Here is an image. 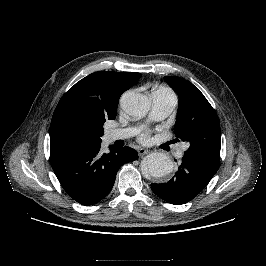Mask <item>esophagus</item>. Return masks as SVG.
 Instances as JSON below:
<instances>
[{"label":"esophagus","mask_w":266,"mask_h":266,"mask_svg":"<svg viewBox=\"0 0 266 266\" xmlns=\"http://www.w3.org/2000/svg\"><path fill=\"white\" fill-rule=\"evenodd\" d=\"M148 153H149V150L144 149V148H138L139 156H143V155L148 154Z\"/></svg>","instance_id":"34e87169"}]
</instances>
